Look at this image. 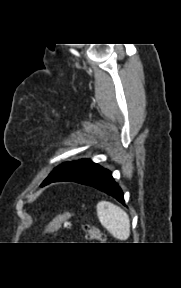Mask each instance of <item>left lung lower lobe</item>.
I'll return each mask as SVG.
<instances>
[{
  "label": "left lung lower lobe",
  "mask_w": 181,
  "mask_h": 288,
  "mask_svg": "<svg viewBox=\"0 0 181 288\" xmlns=\"http://www.w3.org/2000/svg\"><path fill=\"white\" fill-rule=\"evenodd\" d=\"M51 182H45L41 184V186H45ZM80 184L88 185L94 188H97L108 195H111L115 199H117L120 203L125 205L124 194L119 187V185L114 181L112 174L109 170L101 167L96 172L91 174L90 176L80 180Z\"/></svg>",
  "instance_id": "0a47b994"
}]
</instances>
